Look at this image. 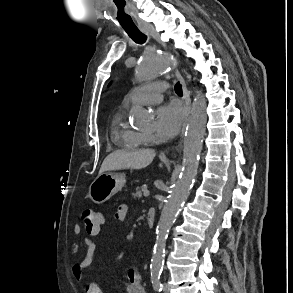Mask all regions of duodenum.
<instances>
[{
  "label": "duodenum",
  "instance_id": "obj_1",
  "mask_svg": "<svg viewBox=\"0 0 293 293\" xmlns=\"http://www.w3.org/2000/svg\"><path fill=\"white\" fill-rule=\"evenodd\" d=\"M156 211L154 208H149L146 214V223L149 228H152L155 223Z\"/></svg>",
  "mask_w": 293,
  "mask_h": 293
}]
</instances>
